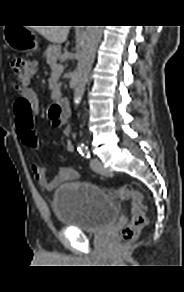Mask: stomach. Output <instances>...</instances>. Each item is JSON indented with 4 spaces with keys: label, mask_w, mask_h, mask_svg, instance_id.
<instances>
[{
    "label": "stomach",
    "mask_w": 184,
    "mask_h": 292,
    "mask_svg": "<svg viewBox=\"0 0 184 292\" xmlns=\"http://www.w3.org/2000/svg\"><path fill=\"white\" fill-rule=\"evenodd\" d=\"M4 38L9 47L16 51H36L38 41L34 33L25 27H6Z\"/></svg>",
    "instance_id": "obj_1"
}]
</instances>
